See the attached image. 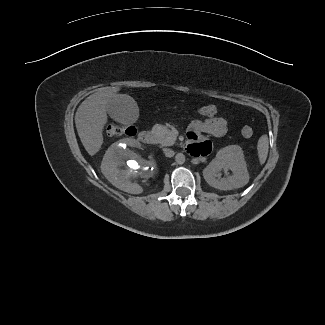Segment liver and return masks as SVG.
Listing matches in <instances>:
<instances>
[{"mask_svg": "<svg viewBox=\"0 0 325 325\" xmlns=\"http://www.w3.org/2000/svg\"><path fill=\"white\" fill-rule=\"evenodd\" d=\"M118 87H102L87 97L78 107L75 124L80 140L90 156H94L103 144V129L108 122L107 104L116 97L129 95L118 94ZM134 100V99H133Z\"/></svg>", "mask_w": 325, "mask_h": 325, "instance_id": "obj_1", "label": "liver"}]
</instances>
